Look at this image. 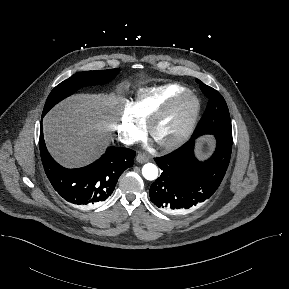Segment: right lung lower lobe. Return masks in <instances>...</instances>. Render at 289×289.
<instances>
[{
	"instance_id": "98d812e1",
	"label": "right lung lower lobe",
	"mask_w": 289,
	"mask_h": 289,
	"mask_svg": "<svg viewBox=\"0 0 289 289\" xmlns=\"http://www.w3.org/2000/svg\"><path fill=\"white\" fill-rule=\"evenodd\" d=\"M40 154L45 173L61 197L72 204L93 205L105 201L112 194L120 175L133 165L136 152L128 148L109 147L91 165L67 169L49 154L41 123Z\"/></svg>"
}]
</instances>
